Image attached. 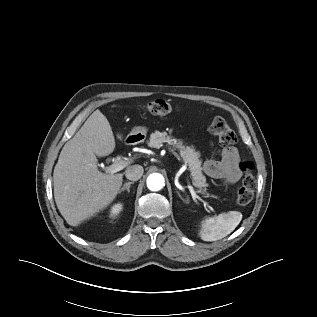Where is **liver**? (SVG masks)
Here are the masks:
<instances>
[{"instance_id": "6515ba94", "label": "liver", "mask_w": 317, "mask_h": 317, "mask_svg": "<svg viewBox=\"0 0 317 317\" xmlns=\"http://www.w3.org/2000/svg\"><path fill=\"white\" fill-rule=\"evenodd\" d=\"M114 148L113 131L100 110L62 148L53 172L54 198L70 226H78L106 208L119 193L123 174L100 172L96 157L108 156Z\"/></svg>"}]
</instances>
